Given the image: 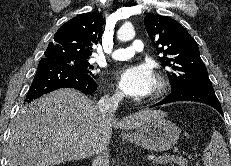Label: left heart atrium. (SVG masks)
<instances>
[{"label": "left heart atrium", "mask_w": 231, "mask_h": 166, "mask_svg": "<svg viewBox=\"0 0 231 166\" xmlns=\"http://www.w3.org/2000/svg\"><path fill=\"white\" fill-rule=\"evenodd\" d=\"M116 79L121 91L130 97L147 96L153 91L155 85L154 73L145 64L121 69Z\"/></svg>", "instance_id": "left-heart-atrium-1"}]
</instances>
